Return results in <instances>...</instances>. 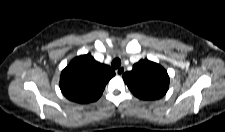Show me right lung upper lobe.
I'll return each mask as SVG.
<instances>
[{
    "instance_id": "1",
    "label": "right lung upper lobe",
    "mask_w": 225,
    "mask_h": 132,
    "mask_svg": "<svg viewBox=\"0 0 225 132\" xmlns=\"http://www.w3.org/2000/svg\"><path fill=\"white\" fill-rule=\"evenodd\" d=\"M115 72L94 60L91 54L74 58L62 71L60 89L64 96L77 103L96 101Z\"/></svg>"
}]
</instances>
